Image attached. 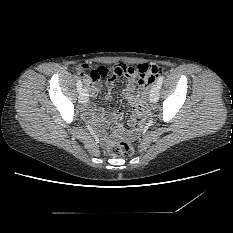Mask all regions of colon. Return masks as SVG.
<instances>
[{
    "instance_id": "1",
    "label": "colon",
    "mask_w": 233,
    "mask_h": 233,
    "mask_svg": "<svg viewBox=\"0 0 233 233\" xmlns=\"http://www.w3.org/2000/svg\"><path fill=\"white\" fill-rule=\"evenodd\" d=\"M122 72L126 76L137 77L142 83L153 82L161 73L162 68L158 65L150 64H139V65H129L120 64ZM85 71V69H81ZM112 76V70L105 66H99L93 69L89 76L84 74V77L90 81H100ZM147 94L141 93L139 97V102L141 106L147 105ZM133 152L132 145L125 141H119L112 144L108 149V154L111 156H128Z\"/></svg>"
}]
</instances>
